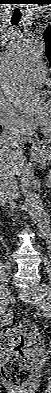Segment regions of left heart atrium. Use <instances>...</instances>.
Segmentation results:
<instances>
[{
    "label": "left heart atrium",
    "instance_id": "39dd6f15",
    "mask_svg": "<svg viewBox=\"0 0 51 393\" xmlns=\"http://www.w3.org/2000/svg\"><path fill=\"white\" fill-rule=\"evenodd\" d=\"M45 118V112H42L39 116H38V121L39 123H42L44 121Z\"/></svg>",
    "mask_w": 51,
    "mask_h": 393
}]
</instances>
